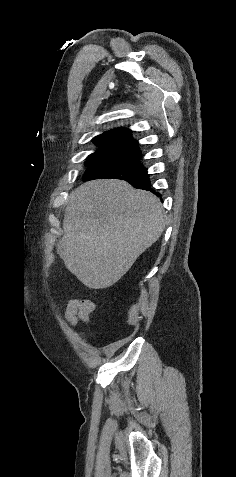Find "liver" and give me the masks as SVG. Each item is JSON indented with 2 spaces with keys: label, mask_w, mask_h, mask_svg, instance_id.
Instances as JSON below:
<instances>
[{
  "label": "liver",
  "mask_w": 236,
  "mask_h": 477,
  "mask_svg": "<svg viewBox=\"0 0 236 477\" xmlns=\"http://www.w3.org/2000/svg\"><path fill=\"white\" fill-rule=\"evenodd\" d=\"M159 199L117 179L86 182L69 196L57 253L85 286L114 285L165 229Z\"/></svg>",
  "instance_id": "1"
}]
</instances>
